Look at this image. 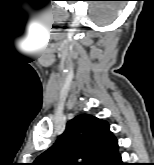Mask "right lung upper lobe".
Listing matches in <instances>:
<instances>
[{
  "label": "right lung upper lobe",
  "mask_w": 154,
  "mask_h": 165,
  "mask_svg": "<svg viewBox=\"0 0 154 165\" xmlns=\"http://www.w3.org/2000/svg\"><path fill=\"white\" fill-rule=\"evenodd\" d=\"M112 137L106 121L87 114L78 115L67 123L64 133L32 165H78L77 160L93 165Z\"/></svg>",
  "instance_id": "right-lung-upper-lobe-1"
}]
</instances>
